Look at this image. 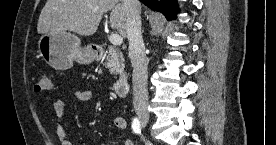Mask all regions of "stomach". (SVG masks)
Returning a JSON list of instances; mask_svg holds the SVG:
<instances>
[{
  "mask_svg": "<svg viewBox=\"0 0 276 145\" xmlns=\"http://www.w3.org/2000/svg\"><path fill=\"white\" fill-rule=\"evenodd\" d=\"M81 40L74 34L61 31L45 33L38 42L44 61L56 70L70 69L74 61L90 64L96 58L93 49L81 47Z\"/></svg>",
  "mask_w": 276,
  "mask_h": 145,
  "instance_id": "stomach-1",
  "label": "stomach"
}]
</instances>
